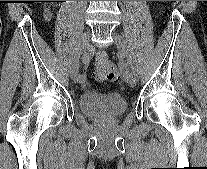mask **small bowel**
<instances>
[{
  "label": "small bowel",
  "mask_w": 207,
  "mask_h": 169,
  "mask_svg": "<svg viewBox=\"0 0 207 169\" xmlns=\"http://www.w3.org/2000/svg\"><path fill=\"white\" fill-rule=\"evenodd\" d=\"M44 18H45L46 20H49V18H50V14H49L48 11H45V12H44Z\"/></svg>",
  "instance_id": "obj_1"
}]
</instances>
